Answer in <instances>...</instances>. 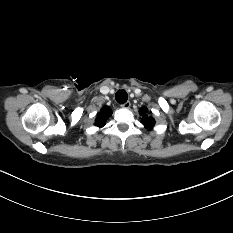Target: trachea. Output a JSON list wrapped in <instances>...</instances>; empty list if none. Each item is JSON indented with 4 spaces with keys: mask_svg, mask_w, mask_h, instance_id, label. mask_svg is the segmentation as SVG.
Instances as JSON below:
<instances>
[{
    "mask_svg": "<svg viewBox=\"0 0 233 233\" xmlns=\"http://www.w3.org/2000/svg\"><path fill=\"white\" fill-rule=\"evenodd\" d=\"M115 99L120 104L125 103L128 99L127 92L125 90H118L115 94Z\"/></svg>",
    "mask_w": 233,
    "mask_h": 233,
    "instance_id": "1",
    "label": "trachea"
}]
</instances>
